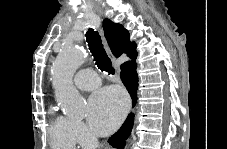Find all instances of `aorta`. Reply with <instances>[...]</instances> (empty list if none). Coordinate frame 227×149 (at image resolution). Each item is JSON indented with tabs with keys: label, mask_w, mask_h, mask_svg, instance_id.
Masks as SVG:
<instances>
[{
	"label": "aorta",
	"mask_w": 227,
	"mask_h": 149,
	"mask_svg": "<svg viewBox=\"0 0 227 149\" xmlns=\"http://www.w3.org/2000/svg\"><path fill=\"white\" fill-rule=\"evenodd\" d=\"M84 58L82 50L75 44L62 46L52 65L55 99L63 111L73 117L84 115V99L73 86V76Z\"/></svg>",
	"instance_id": "aorta-1"
}]
</instances>
